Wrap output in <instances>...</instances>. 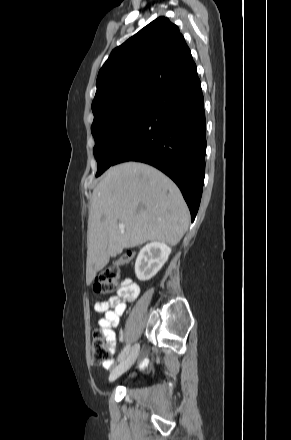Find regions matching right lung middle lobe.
<instances>
[{
	"label": "right lung middle lobe",
	"instance_id": "obj_1",
	"mask_svg": "<svg viewBox=\"0 0 291 440\" xmlns=\"http://www.w3.org/2000/svg\"><path fill=\"white\" fill-rule=\"evenodd\" d=\"M153 101L152 96H139L103 104L92 110L93 152L98 164L96 177L112 165L121 147L142 124Z\"/></svg>",
	"mask_w": 291,
	"mask_h": 440
}]
</instances>
